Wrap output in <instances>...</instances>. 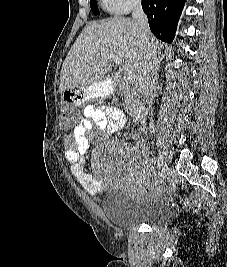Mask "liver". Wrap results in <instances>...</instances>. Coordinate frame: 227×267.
Wrapping results in <instances>:
<instances>
[{
    "label": "liver",
    "mask_w": 227,
    "mask_h": 267,
    "mask_svg": "<svg viewBox=\"0 0 227 267\" xmlns=\"http://www.w3.org/2000/svg\"><path fill=\"white\" fill-rule=\"evenodd\" d=\"M149 42L160 57V41L151 34ZM116 59L121 60L123 68L132 71L138 80L145 60V46L134 22L129 18L114 17L90 23L65 58L59 91L107 80Z\"/></svg>",
    "instance_id": "1"
}]
</instances>
